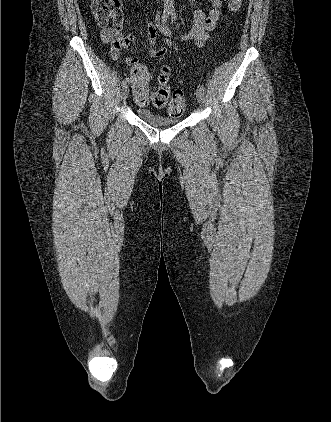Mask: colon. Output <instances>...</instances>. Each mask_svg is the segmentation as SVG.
I'll return each instance as SVG.
<instances>
[{"label":"colon","instance_id":"obj_1","mask_svg":"<svg viewBox=\"0 0 331 422\" xmlns=\"http://www.w3.org/2000/svg\"><path fill=\"white\" fill-rule=\"evenodd\" d=\"M243 0H230L229 10L233 15H236L242 8ZM91 9L101 27H105L110 21L118 22L121 20V11L119 0H91ZM170 66H163L159 76V86L156 87L151 93V99L155 106L163 107L168 104V112L172 116L181 115L186 106L185 96L182 90L176 89L172 93L168 86L170 76ZM132 75L138 78L145 84L150 78L148 68L142 64H136L132 68ZM148 96V90L145 86H141L136 90V98L140 102H144Z\"/></svg>","mask_w":331,"mask_h":422}]
</instances>
